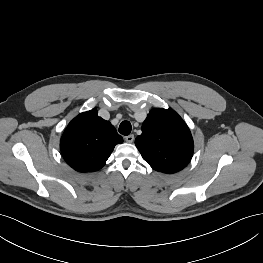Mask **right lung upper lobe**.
<instances>
[{
  "label": "right lung upper lobe",
  "mask_w": 263,
  "mask_h": 263,
  "mask_svg": "<svg viewBox=\"0 0 263 263\" xmlns=\"http://www.w3.org/2000/svg\"><path fill=\"white\" fill-rule=\"evenodd\" d=\"M123 142L110 122L98 116L97 110L79 114L67 126L60 149L65 161L79 172L101 169L115 145Z\"/></svg>",
  "instance_id": "1"
}]
</instances>
